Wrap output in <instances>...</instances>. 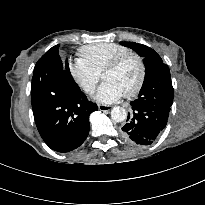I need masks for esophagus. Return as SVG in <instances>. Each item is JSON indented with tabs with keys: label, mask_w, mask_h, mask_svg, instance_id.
Listing matches in <instances>:
<instances>
[{
	"label": "esophagus",
	"mask_w": 205,
	"mask_h": 205,
	"mask_svg": "<svg viewBox=\"0 0 205 205\" xmlns=\"http://www.w3.org/2000/svg\"><path fill=\"white\" fill-rule=\"evenodd\" d=\"M98 109L100 111H110L112 109V107L109 105L99 104Z\"/></svg>",
	"instance_id": "obj_1"
}]
</instances>
